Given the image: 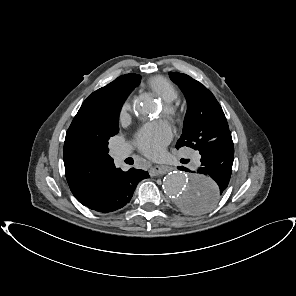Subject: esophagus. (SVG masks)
Wrapping results in <instances>:
<instances>
[{
	"label": "esophagus",
	"instance_id": "1",
	"mask_svg": "<svg viewBox=\"0 0 296 296\" xmlns=\"http://www.w3.org/2000/svg\"><path fill=\"white\" fill-rule=\"evenodd\" d=\"M170 170L171 169L167 166L156 165L151 169L150 174L151 176H160V175L166 174Z\"/></svg>",
	"mask_w": 296,
	"mask_h": 296
}]
</instances>
